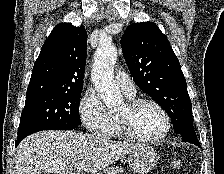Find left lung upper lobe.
<instances>
[{"instance_id":"1","label":"left lung upper lobe","mask_w":224,"mask_h":174,"mask_svg":"<svg viewBox=\"0 0 224 174\" xmlns=\"http://www.w3.org/2000/svg\"><path fill=\"white\" fill-rule=\"evenodd\" d=\"M121 47L131 76L170 116L177 134L194 132L192 104L179 60L153 22L130 25Z\"/></svg>"}]
</instances>
